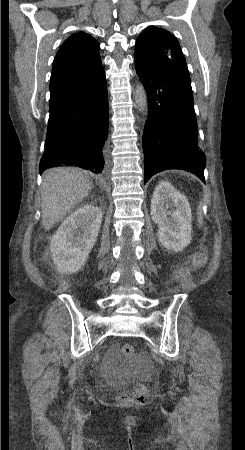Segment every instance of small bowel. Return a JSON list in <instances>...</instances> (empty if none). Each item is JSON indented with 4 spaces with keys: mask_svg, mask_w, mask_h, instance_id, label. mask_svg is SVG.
<instances>
[{
    "mask_svg": "<svg viewBox=\"0 0 245 450\" xmlns=\"http://www.w3.org/2000/svg\"><path fill=\"white\" fill-rule=\"evenodd\" d=\"M116 349H117L116 347H113V348H112L113 351L116 350Z\"/></svg>",
    "mask_w": 245,
    "mask_h": 450,
    "instance_id": "small-bowel-1",
    "label": "small bowel"
}]
</instances>
